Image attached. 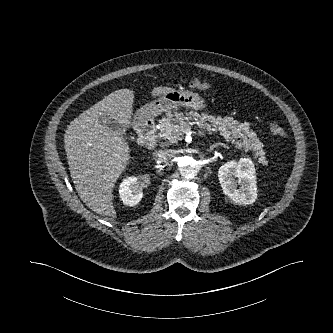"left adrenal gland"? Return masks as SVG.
Segmentation results:
<instances>
[{"label": "left adrenal gland", "instance_id": "1", "mask_svg": "<svg viewBox=\"0 0 333 333\" xmlns=\"http://www.w3.org/2000/svg\"><path fill=\"white\" fill-rule=\"evenodd\" d=\"M217 146H223L224 148H227V146L224 143H216L210 146V150L212 151Z\"/></svg>", "mask_w": 333, "mask_h": 333}]
</instances>
